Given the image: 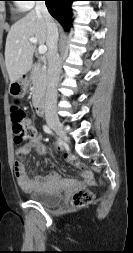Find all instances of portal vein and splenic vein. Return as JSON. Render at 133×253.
Masks as SVG:
<instances>
[{"mask_svg":"<svg viewBox=\"0 0 133 253\" xmlns=\"http://www.w3.org/2000/svg\"><path fill=\"white\" fill-rule=\"evenodd\" d=\"M29 41L31 43H37L38 40L35 37H31L29 39ZM38 51H39L40 54H45L46 51H47V47L45 45H40L39 48H38Z\"/></svg>","mask_w":133,"mask_h":253,"instance_id":"1","label":"portal vein and splenic vein"}]
</instances>
